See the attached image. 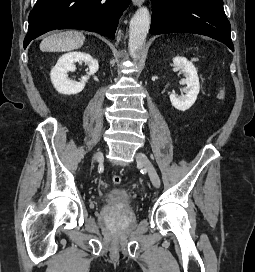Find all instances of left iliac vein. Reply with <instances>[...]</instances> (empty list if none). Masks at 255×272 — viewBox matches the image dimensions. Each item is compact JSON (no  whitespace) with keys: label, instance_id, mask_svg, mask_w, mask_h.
<instances>
[{"label":"left iliac vein","instance_id":"1","mask_svg":"<svg viewBox=\"0 0 255 272\" xmlns=\"http://www.w3.org/2000/svg\"><path fill=\"white\" fill-rule=\"evenodd\" d=\"M136 161L139 165L143 166L147 171L152 184L158 188L160 186V178L148 156L142 152L136 154Z\"/></svg>","mask_w":255,"mask_h":272}]
</instances>
